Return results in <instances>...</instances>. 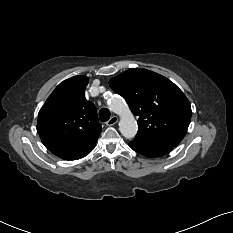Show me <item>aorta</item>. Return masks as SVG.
I'll return each mask as SVG.
<instances>
[{
  "label": "aorta",
  "instance_id": "762f6f07",
  "mask_svg": "<svg viewBox=\"0 0 233 233\" xmlns=\"http://www.w3.org/2000/svg\"><path fill=\"white\" fill-rule=\"evenodd\" d=\"M109 108L120 116L119 130L128 139L134 138L138 131L137 122L126 102L119 96H114L108 103Z\"/></svg>",
  "mask_w": 233,
  "mask_h": 233
}]
</instances>
